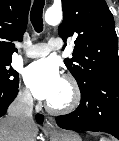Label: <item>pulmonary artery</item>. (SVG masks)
Masks as SVG:
<instances>
[{"mask_svg": "<svg viewBox=\"0 0 119 141\" xmlns=\"http://www.w3.org/2000/svg\"><path fill=\"white\" fill-rule=\"evenodd\" d=\"M62 48V43L57 38H50L47 43H38L26 49V56L29 58H38L47 55L52 50Z\"/></svg>", "mask_w": 119, "mask_h": 141, "instance_id": "1", "label": "pulmonary artery"}]
</instances>
